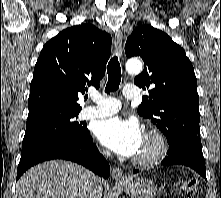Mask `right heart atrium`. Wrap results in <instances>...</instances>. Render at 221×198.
I'll use <instances>...</instances> for the list:
<instances>
[{
  "label": "right heart atrium",
  "instance_id": "d8ad5b80",
  "mask_svg": "<svg viewBox=\"0 0 221 198\" xmlns=\"http://www.w3.org/2000/svg\"><path fill=\"white\" fill-rule=\"evenodd\" d=\"M101 152H102L103 155H107L108 154L107 151L104 150V149H102Z\"/></svg>",
  "mask_w": 221,
  "mask_h": 198
}]
</instances>
